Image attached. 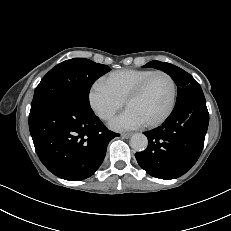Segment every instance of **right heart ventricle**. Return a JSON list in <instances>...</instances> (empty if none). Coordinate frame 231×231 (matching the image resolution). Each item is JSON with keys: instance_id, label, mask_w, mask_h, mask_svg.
I'll return each instance as SVG.
<instances>
[{"instance_id": "right-heart-ventricle-1", "label": "right heart ventricle", "mask_w": 231, "mask_h": 231, "mask_svg": "<svg viewBox=\"0 0 231 231\" xmlns=\"http://www.w3.org/2000/svg\"><path fill=\"white\" fill-rule=\"evenodd\" d=\"M152 72L151 69H122L111 72L102 81L122 101H125L130 92Z\"/></svg>"}]
</instances>
